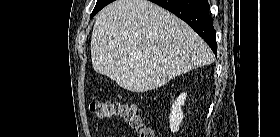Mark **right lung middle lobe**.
Instances as JSON below:
<instances>
[{"instance_id": "obj_1", "label": "right lung middle lobe", "mask_w": 280, "mask_h": 137, "mask_svg": "<svg viewBox=\"0 0 280 137\" xmlns=\"http://www.w3.org/2000/svg\"><path fill=\"white\" fill-rule=\"evenodd\" d=\"M114 0H97L96 6L92 12L91 18L100 11L103 7L108 5L109 3L113 2Z\"/></svg>"}]
</instances>
